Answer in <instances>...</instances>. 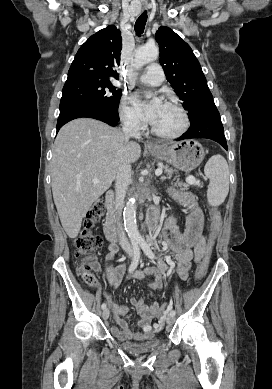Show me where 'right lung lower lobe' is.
<instances>
[{"mask_svg": "<svg viewBox=\"0 0 272 389\" xmlns=\"http://www.w3.org/2000/svg\"><path fill=\"white\" fill-rule=\"evenodd\" d=\"M59 108L57 131L65 123L80 117L98 119L111 126L117 125L119 121L118 110L109 109L97 102L86 99H63Z\"/></svg>", "mask_w": 272, "mask_h": 389, "instance_id": "right-lung-lower-lobe-1", "label": "right lung lower lobe"}]
</instances>
